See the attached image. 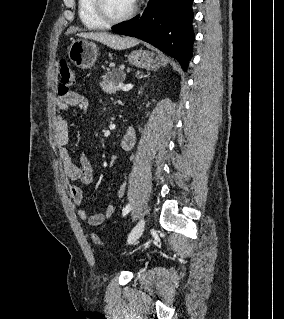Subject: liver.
I'll return each mask as SVG.
<instances>
[{"label": "liver", "mask_w": 284, "mask_h": 319, "mask_svg": "<svg viewBox=\"0 0 284 319\" xmlns=\"http://www.w3.org/2000/svg\"><path fill=\"white\" fill-rule=\"evenodd\" d=\"M77 36L99 41L108 47L117 50L130 48L139 43V41L135 38L121 37L119 35H113L106 32L78 33Z\"/></svg>", "instance_id": "1"}]
</instances>
